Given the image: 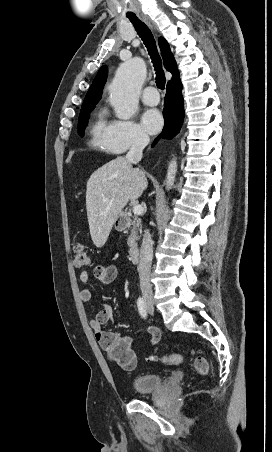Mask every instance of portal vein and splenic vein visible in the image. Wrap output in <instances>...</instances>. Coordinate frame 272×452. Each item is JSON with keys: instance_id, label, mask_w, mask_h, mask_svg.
<instances>
[{"instance_id": "portal-vein-and-splenic-vein-1", "label": "portal vein and splenic vein", "mask_w": 272, "mask_h": 452, "mask_svg": "<svg viewBox=\"0 0 272 452\" xmlns=\"http://www.w3.org/2000/svg\"><path fill=\"white\" fill-rule=\"evenodd\" d=\"M144 209L141 205L136 204L133 206V213L134 215H141L143 213Z\"/></svg>"}]
</instances>
